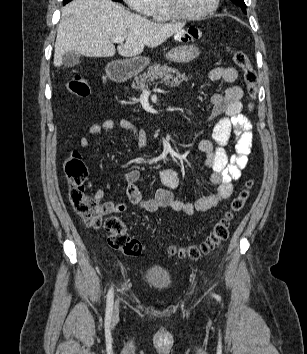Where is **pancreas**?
Instances as JSON below:
<instances>
[{"label":"pancreas","mask_w":307,"mask_h":354,"mask_svg":"<svg viewBox=\"0 0 307 354\" xmlns=\"http://www.w3.org/2000/svg\"><path fill=\"white\" fill-rule=\"evenodd\" d=\"M160 79L165 85L177 87L182 81H188L185 73H180L177 69L161 66L159 64L150 66L147 72H144L139 77H135V82L132 84L133 89H143L146 82Z\"/></svg>","instance_id":"obj_1"}]
</instances>
